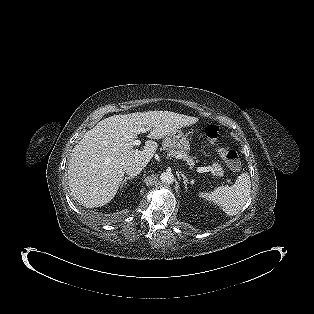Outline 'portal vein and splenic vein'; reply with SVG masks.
<instances>
[{
  "label": "portal vein and splenic vein",
  "instance_id": "obj_1",
  "mask_svg": "<svg viewBox=\"0 0 314 314\" xmlns=\"http://www.w3.org/2000/svg\"><path fill=\"white\" fill-rule=\"evenodd\" d=\"M149 130V128L147 127V128H141V132L142 133H145L146 131H148ZM141 144V142H140V140H134L133 141V145L134 146H138V145H140ZM209 171H211L212 172V168L211 167H201V168H199L198 169V172H200V173H203V172H209ZM213 173V172H212Z\"/></svg>",
  "mask_w": 314,
  "mask_h": 314
}]
</instances>
